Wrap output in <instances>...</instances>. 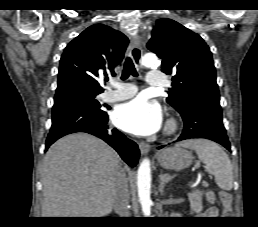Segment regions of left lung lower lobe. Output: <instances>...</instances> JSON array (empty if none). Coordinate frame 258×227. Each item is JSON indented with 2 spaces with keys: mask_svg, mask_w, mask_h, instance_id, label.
<instances>
[{
  "mask_svg": "<svg viewBox=\"0 0 258 227\" xmlns=\"http://www.w3.org/2000/svg\"><path fill=\"white\" fill-rule=\"evenodd\" d=\"M181 116L184 121V130L177 141L206 138L221 144L230 151L220 104L201 103L191 108L189 113ZM163 147L164 145L159 149Z\"/></svg>",
  "mask_w": 258,
  "mask_h": 227,
  "instance_id": "obj_1",
  "label": "left lung lower lobe"
}]
</instances>
